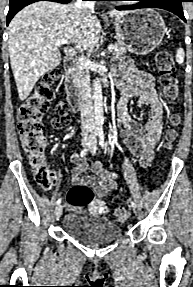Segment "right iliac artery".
Returning <instances> with one entry per match:
<instances>
[{"mask_svg": "<svg viewBox=\"0 0 193 287\" xmlns=\"http://www.w3.org/2000/svg\"><path fill=\"white\" fill-rule=\"evenodd\" d=\"M97 135H98V133H95L94 139L96 138ZM89 148H90V145H89L88 147L84 148V149L80 152V156H81V157H85V156L87 155L88 151H89ZM61 201H62L61 198L58 199L57 202H56V205H60Z\"/></svg>", "mask_w": 193, "mask_h": 287, "instance_id": "obj_1", "label": "right iliac artery"}]
</instances>
